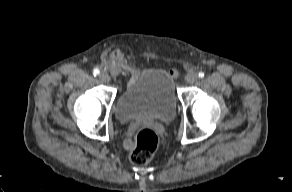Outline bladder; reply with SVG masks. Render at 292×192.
Returning <instances> with one entry per match:
<instances>
[{"instance_id":"obj_1","label":"bladder","mask_w":292,"mask_h":192,"mask_svg":"<svg viewBox=\"0 0 292 192\" xmlns=\"http://www.w3.org/2000/svg\"><path fill=\"white\" fill-rule=\"evenodd\" d=\"M176 111V94L171 75L149 68L129 78L115 104L116 117L134 120L170 121Z\"/></svg>"}]
</instances>
